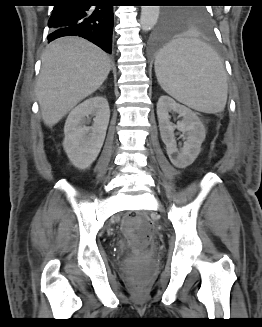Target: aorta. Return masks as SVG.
Masks as SVG:
<instances>
[{
    "label": "aorta",
    "instance_id": "aorta-1",
    "mask_svg": "<svg viewBox=\"0 0 262 327\" xmlns=\"http://www.w3.org/2000/svg\"><path fill=\"white\" fill-rule=\"evenodd\" d=\"M160 14L159 6H142L140 24L143 31L147 32L156 25Z\"/></svg>",
    "mask_w": 262,
    "mask_h": 327
}]
</instances>
